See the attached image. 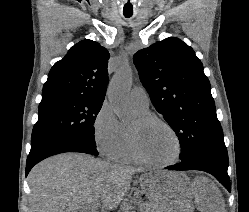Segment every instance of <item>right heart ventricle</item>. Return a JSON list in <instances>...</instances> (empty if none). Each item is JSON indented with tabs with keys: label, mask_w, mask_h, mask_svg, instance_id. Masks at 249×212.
Returning a JSON list of instances; mask_svg holds the SVG:
<instances>
[{
	"label": "right heart ventricle",
	"mask_w": 249,
	"mask_h": 212,
	"mask_svg": "<svg viewBox=\"0 0 249 212\" xmlns=\"http://www.w3.org/2000/svg\"><path fill=\"white\" fill-rule=\"evenodd\" d=\"M136 112L138 113L139 116H147L149 115V111H141L136 109ZM122 132L124 134V142L123 145L118 153V158L117 160L123 163H128V164H133L136 163V159L134 158L130 145H129V140H128V132L127 128L125 126H121Z\"/></svg>",
	"instance_id": "e07e8e85"
}]
</instances>
